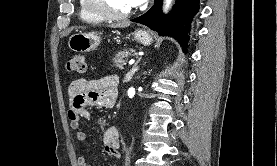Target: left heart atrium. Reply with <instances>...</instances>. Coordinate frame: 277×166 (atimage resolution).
<instances>
[{
  "label": "left heart atrium",
  "instance_id": "39dd6f15",
  "mask_svg": "<svg viewBox=\"0 0 277 166\" xmlns=\"http://www.w3.org/2000/svg\"><path fill=\"white\" fill-rule=\"evenodd\" d=\"M133 7L144 4L147 0H130Z\"/></svg>",
  "mask_w": 277,
  "mask_h": 166
}]
</instances>
